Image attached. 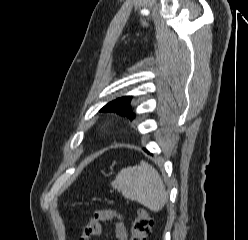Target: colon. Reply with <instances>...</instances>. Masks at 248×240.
Returning <instances> with one entry per match:
<instances>
[{"label":"colon","mask_w":248,"mask_h":240,"mask_svg":"<svg viewBox=\"0 0 248 240\" xmlns=\"http://www.w3.org/2000/svg\"><path fill=\"white\" fill-rule=\"evenodd\" d=\"M152 226L153 220L149 213L143 209H140L131 224L130 240H147Z\"/></svg>","instance_id":"5ec220e1"}]
</instances>
